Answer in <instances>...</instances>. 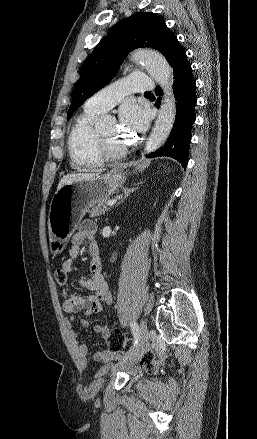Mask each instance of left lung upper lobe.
I'll return each instance as SVG.
<instances>
[{
    "mask_svg": "<svg viewBox=\"0 0 257 439\" xmlns=\"http://www.w3.org/2000/svg\"><path fill=\"white\" fill-rule=\"evenodd\" d=\"M176 39L163 19L155 13H135L115 24L83 63L67 119L116 75L129 52L143 46L152 47L167 59Z\"/></svg>",
    "mask_w": 257,
    "mask_h": 439,
    "instance_id": "left-lung-upper-lobe-1",
    "label": "left lung upper lobe"
}]
</instances>
